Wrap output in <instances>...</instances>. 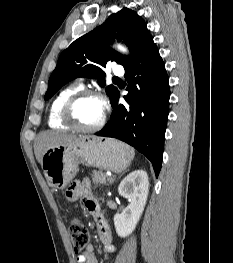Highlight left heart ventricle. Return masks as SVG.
<instances>
[{
	"mask_svg": "<svg viewBox=\"0 0 233 263\" xmlns=\"http://www.w3.org/2000/svg\"><path fill=\"white\" fill-rule=\"evenodd\" d=\"M103 114V103L96 98L81 100L74 109V116L80 125L92 127L96 125Z\"/></svg>",
	"mask_w": 233,
	"mask_h": 263,
	"instance_id": "b2bd125f",
	"label": "left heart ventricle"
}]
</instances>
